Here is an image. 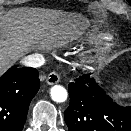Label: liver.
Returning <instances> with one entry per match:
<instances>
[{
    "instance_id": "6515ba94",
    "label": "liver",
    "mask_w": 131,
    "mask_h": 131,
    "mask_svg": "<svg viewBox=\"0 0 131 131\" xmlns=\"http://www.w3.org/2000/svg\"><path fill=\"white\" fill-rule=\"evenodd\" d=\"M81 28L83 22L62 12L15 8L0 13V74L11 60L73 37Z\"/></svg>"
}]
</instances>
